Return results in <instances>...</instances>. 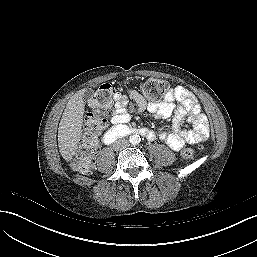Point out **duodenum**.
I'll use <instances>...</instances> for the list:
<instances>
[{
  "label": "duodenum",
  "instance_id": "1",
  "mask_svg": "<svg viewBox=\"0 0 257 257\" xmlns=\"http://www.w3.org/2000/svg\"><path fill=\"white\" fill-rule=\"evenodd\" d=\"M149 132L145 128L128 127L125 125L114 126L109 129L104 135V142L111 144L115 140L126 135H147Z\"/></svg>",
  "mask_w": 257,
  "mask_h": 257
}]
</instances>
